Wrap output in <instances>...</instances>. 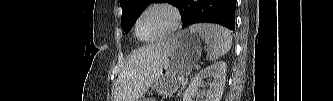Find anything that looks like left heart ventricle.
Returning a JSON list of instances; mask_svg holds the SVG:
<instances>
[{"label": "left heart ventricle", "instance_id": "left-heart-ventricle-1", "mask_svg": "<svg viewBox=\"0 0 333 101\" xmlns=\"http://www.w3.org/2000/svg\"><path fill=\"white\" fill-rule=\"evenodd\" d=\"M172 23L173 17L169 12L153 10L142 17L139 23V32L143 38H154L166 32Z\"/></svg>", "mask_w": 333, "mask_h": 101}]
</instances>
